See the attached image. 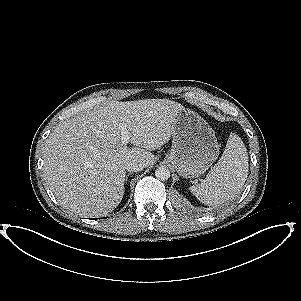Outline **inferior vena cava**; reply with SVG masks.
I'll return each instance as SVG.
<instances>
[{"label": "inferior vena cava", "instance_id": "1", "mask_svg": "<svg viewBox=\"0 0 301 301\" xmlns=\"http://www.w3.org/2000/svg\"><path fill=\"white\" fill-rule=\"evenodd\" d=\"M125 168L130 172H139L143 170L144 165L137 162H129L125 165Z\"/></svg>", "mask_w": 301, "mask_h": 301}]
</instances>
